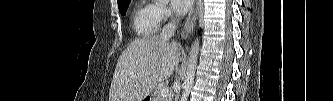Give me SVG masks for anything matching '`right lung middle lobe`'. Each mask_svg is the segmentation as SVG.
Here are the masks:
<instances>
[{"mask_svg": "<svg viewBox=\"0 0 333 101\" xmlns=\"http://www.w3.org/2000/svg\"><path fill=\"white\" fill-rule=\"evenodd\" d=\"M130 1L131 0H126V1L122 2L121 4H118V8H119L121 15L126 14Z\"/></svg>", "mask_w": 333, "mask_h": 101, "instance_id": "right-lung-middle-lobe-1", "label": "right lung middle lobe"}]
</instances>
